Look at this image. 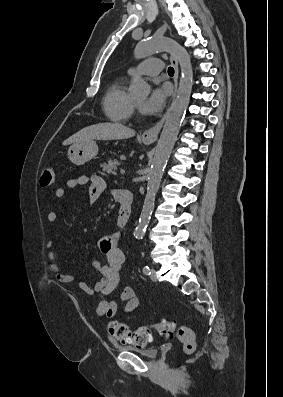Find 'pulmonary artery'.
I'll return each mask as SVG.
<instances>
[{
    "mask_svg": "<svg viewBox=\"0 0 283 397\" xmlns=\"http://www.w3.org/2000/svg\"><path fill=\"white\" fill-rule=\"evenodd\" d=\"M163 69V64L158 58H149L141 62L137 67L128 70L129 75L142 74L156 76Z\"/></svg>",
    "mask_w": 283,
    "mask_h": 397,
    "instance_id": "obj_1",
    "label": "pulmonary artery"
}]
</instances>
